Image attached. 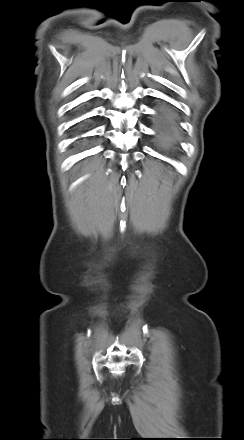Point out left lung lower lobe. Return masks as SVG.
<instances>
[{
    "label": "left lung lower lobe",
    "mask_w": 244,
    "mask_h": 440,
    "mask_svg": "<svg viewBox=\"0 0 244 440\" xmlns=\"http://www.w3.org/2000/svg\"><path fill=\"white\" fill-rule=\"evenodd\" d=\"M155 128L159 140L174 144L178 140L179 121L172 109L162 106L155 116Z\"/></svg>",
    "instance_id": "left-lung-lower-lobe-1"
}]
</instances>
